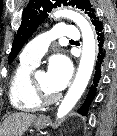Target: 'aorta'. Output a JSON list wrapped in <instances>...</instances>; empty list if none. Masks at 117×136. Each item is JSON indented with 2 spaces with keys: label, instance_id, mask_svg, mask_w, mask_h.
<instances>
[{
  "label": "aorta",
  "instance_id": "obj_1",
  "mask_svg": "<svg viewBox=\"0 0 117 136\" xmlns=\"http://www.w3.org/2000/svg\"><path fill=\"white\" fill-rule=\"evenodd\" d=\"M52 17L55 19L64 17L76 23L81 30L83 42L82 55L76 77L57 111V117L62 118L75 106L88 85L95 64L96 41L92 26L81 14L72 10L60 9Z\"/></svg>",
  "mask_w": 117,
  "mask_h": 136
}]
</instances>
